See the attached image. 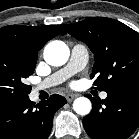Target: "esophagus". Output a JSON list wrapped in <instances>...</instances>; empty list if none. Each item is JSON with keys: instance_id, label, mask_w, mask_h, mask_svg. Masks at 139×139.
Wrapping results in <instances>:
<instances>
[{"instance_id": "obj_1", "label": "esophagus", "mask_w": 139, "mask_h": 139, "mask_svg": "<svg viewBox=\"0 0 139 139\" xmlns=\"http://www.w3.org/2000/svg\"><path fill=\"white\" fill-rule=\"evenodd\" d=\"M75 98H76V95H74V94H68V95H66V99H67L68 102H71Z\"/></svg>"}]
</instances>
